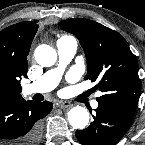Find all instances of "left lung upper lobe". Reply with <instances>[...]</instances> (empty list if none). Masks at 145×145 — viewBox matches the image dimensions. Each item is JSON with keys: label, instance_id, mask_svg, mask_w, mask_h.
Returning <instances> with one entry per match:
<instances>
[{"label": "left lung upper lobe", "instance_id": "1", "mask_svg": "<svg viewBox=\"0 0 145 145\" xmlns=\"http://www.w3.org/2000/svg\"><path fill=\"white\" fill-rule=\"evenodd\" d=\"M59 26L80 41L87 60L85 79L100 80L99 105L134 116L140 97L138 62L126 40L116 31L89 19H69Z\"/></svg>", "mask_w": 145, "mask_h": 145}]
</instances>
